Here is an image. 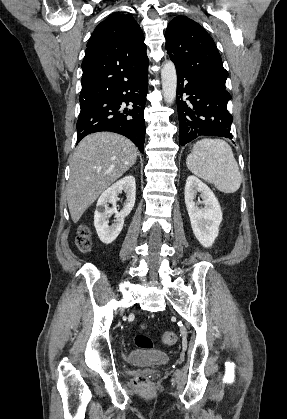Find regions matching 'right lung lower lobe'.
Listing matches in <instances>:
<instances>
[{
    "mask_svg": "<svg viewBox=\"0 0 287 419\" xmlns=\"http://www.w3.org/2000/svg\"><path fill=\"white\" fill-rule=\"evenodd\" d=\"M147 90L148 71L135 81L82 106L77 121V142L90 133L110 131L126 136L143 153ZM123 103L132 108L123 110Z\"/></svg>",
    "mask_w": 287,
    "mask_h": 419,
    "instance_id": "right-lung-lower-lobe-1",
    "label": "right lung lower lobe"
}]
</instances>
